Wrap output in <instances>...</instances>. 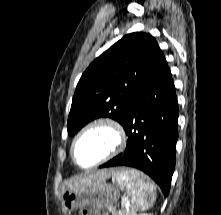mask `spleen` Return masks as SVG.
<instances>
[{"mask_svg": "<svg viewBox=\"0 0 221 215\" xmlns=\"http://www.w3.org/2000/svg\"><path fill=\"white\" fill-rule=\"evenodd\" d=\"M112 181L127 191L134 210L145 211L156 200V185L137 170L127 169L117 172Z\"/></svg>", "mask_w": 221, "mask_h": 215, "instance_id": "obj_1", "label": "spleen"}]
</instances>
